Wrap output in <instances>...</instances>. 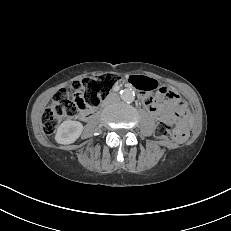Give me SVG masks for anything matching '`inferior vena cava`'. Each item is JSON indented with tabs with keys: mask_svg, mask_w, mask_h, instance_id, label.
<instances>
[{
	"mask_svg": "<svg viewBox=\"0 0 231 231\" xmlns=\"http://www.w3.org/2000/svg\"><path fill=\"white\" fill-rule=\"evenodd\" d=\"M118 100V96L114 93H111L107 98V103H114Z\"/></svg>",
	"mask_w": 231,
	"mask_h": 231,
	"instance_id": "inferior-vena-cava-1",
	"label": "inferior vena cava"
}]
</instances>
